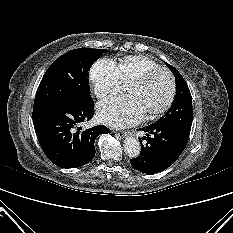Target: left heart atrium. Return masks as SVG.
I'll use <instances>...</instances> for the list:
<instances>
[{"label":"left heart atrium","mask_w":233,"mask_h":233,"mask_svg":"<svg viewBox=\"0 0 233 233\" xmlns=\"http://www.w3.org/2000/svg\"><path fill=\"white\" fill-rule=\"evenodd\" d=\"M97 115L107 125L125 127L138 123L145 113L137 97L129 94L101 102Z\"/></svg>","instance_id":"39dd6f15"}]
</instances>
